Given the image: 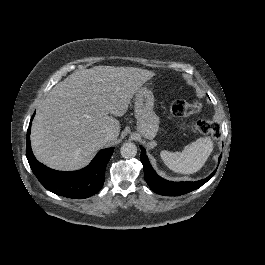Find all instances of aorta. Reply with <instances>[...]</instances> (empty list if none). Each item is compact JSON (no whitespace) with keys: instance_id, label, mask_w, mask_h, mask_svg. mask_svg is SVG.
<instances>
[{"instance_id":"762f6f07","label":"aorta","mask_w":265,"mask_h":265,"mask_svg":"<svg viewBox=\"0 0 265 265\" xmlns=\"http://www.w3.org/2000/svg\"><path fill=\"white\" fill-rule=\"evenodd\" d=\"M123 158L130 159L136 156L137 146L134 143H124L120 149Z\"/></svg>"}]
</instances>
